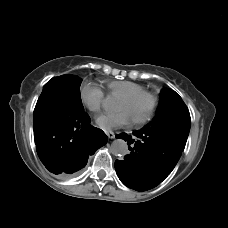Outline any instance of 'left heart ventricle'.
<instances>
[{
    "label": "left heart ventricle",
    "mask_w": 228,
    "mask_h": 228,
    "mask_svg": "<svg viewBox=\"0 0 228 228\" xmlns=\"http://www.w3.org/2000/svg\"><path fill=\"white\" fill-rule=\"evenodd\" d=\"M146 106H147V101H142V102L139 104V106H138V108H137V111H138V112L144 111V109L146 108Z\"/></svg>",
    "instance_id": "left-heart-ventricle-1"
}]
</instances>
